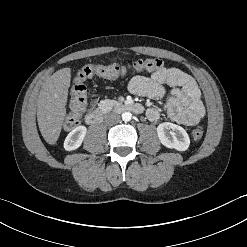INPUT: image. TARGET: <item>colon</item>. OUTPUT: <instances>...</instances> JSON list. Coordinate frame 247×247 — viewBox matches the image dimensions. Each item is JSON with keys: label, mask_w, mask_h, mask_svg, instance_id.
<instances>
[{"label": "colon", "mask_w": 247, "mask_h": 247, "mask_svg": "<svg viewBox=\"0 0 247 247\" xmlns=\"http://www.w3.org/2000/svg\"><path fill=\"white\" fill-rule=\"evenodd\" d=\"M163 68L162 60L158 58L137 59L128 65L120 64H87L83 66L73 80L71 89L70 112L66 118L65 128L72 129L80 122V118L87 105V86L85 81L100 76L114 79L125 75L128 71L136 72H157ZM204 129L202 126L195 127L191 136L194 141H200L203 138Z\"/></svg>", "instance_id": "1"}]
</instances>
